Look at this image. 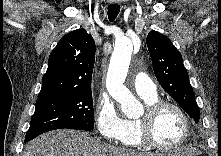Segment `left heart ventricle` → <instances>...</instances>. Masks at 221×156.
Returning a JSON list of instances; mask_svg holds the SVG:
<instances>
[{
  "instance_id": "obj_1",
  "label": "left heart ventricle",
  "mask_w": 221,
  "mask_h": 156,
  "mask_svg": "<svg viewBox=\"0 0 221 156\" xmlns=\"http://www.w3.org/2000/svg\"><path fill=\"white\" fill-rule=\"evenodd\" d=\"M185 132L184 122L177 111L164 109L157 117L153 126L154 139L165 146L177 144Z\"/></svg>"
}]
</instances>
